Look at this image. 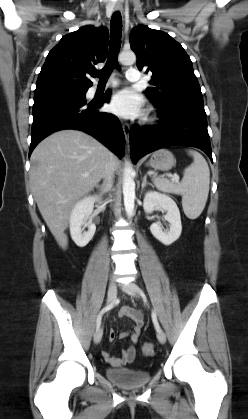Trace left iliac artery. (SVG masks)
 I'll return each mask as SVG.
<instances>
[{"label": "left iliac artery", "mask_w": 248, "mask_h": 419, "mask_svg": "<svg viewBox=\"0 0 248 419\" xmlns=\"http://www.w3.org/2000/svg\"><path fill=\"white\" fill-rule=\"evenodd\" d=\"M141 293H142V292H141ZM152 321H153V323H154L155 329H156L157 331H160V330H161V328H160V326H159V323H158V320H157V316H156V312H155V311H153V312H152Z\"/></svg>", "instance_id": "left-iliac-artery-1"}]
</instances>
